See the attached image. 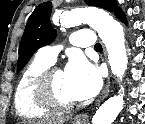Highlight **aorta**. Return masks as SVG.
<instances>
[{"instance_id":"obj_1","label":"aorta","mask_w":145,"mask_h":124,"mask_svg":"<svg viewBox=\"0 0 145 124\" xmlns=\"http://www.w3.org/2000/svg\"><path fill=\"white\" fill-rule=\"evenodd\" d=\"M66 26L90 24L104 43L112 73L122 79L127 69V53L123 26L106 11L96 8L75 9L62 16ZM124 94L120 93L105 101L92 118V124H112L124 107Z\"/></svg>"}]
</instances>
